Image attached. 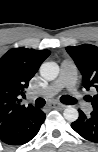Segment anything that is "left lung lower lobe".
<instances>
[{"label":"left lung lower lobe","instance_id":"obj_1","mask_svg":"<svg viewBox=\"0 0 98 152\" xmlns=\"http://www.w3.org/2000/svg\"><path fill=\"white\" fill-rule=\"evenodd\" d=\"M71 127L83 138L96 142L98 140V112L92 111L85 115L79 110V118L71 124Z\"/></svg>","mask_w":98,"mask_h":152}]
</instances>
